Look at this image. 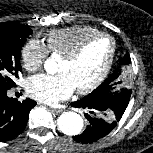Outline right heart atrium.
<instances>
[{"label": "right heart atrium", "mask_w": 153, "mask_h": 153, "mask_svg": "<svg viewBox=\"0 0 153 153\" xmlns=\"http://www.w3.org/2000/svg\"><path fill=\"white\" fill-rule=\"evenodd\" d=\"M47 55V47L37 39L28 40L21 49L22 63L24 68L28 71L40 69Z\"/></svg>", "instance_id": "right-heart-atrium-1"}]
</instances>
